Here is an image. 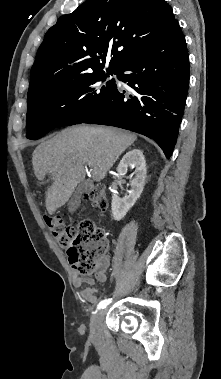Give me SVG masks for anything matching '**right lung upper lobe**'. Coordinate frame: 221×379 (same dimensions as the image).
Listing matches in <instances>:
<instances>
[{"label": "right lung upper lobe", "mask_w": 221, "mask_h": 379, "mask_svg": "<svg viewBox=\"0 0 221 379\" xmlns=\"http://www.w3.org/2000/svg\"><path fill=\"white\" fill-rule=\"evenodd\" d=\"M179 27L165 0H88L51 27L31 69L28 101L55 83L109 70Z\"/></svg>", "instance_id": "1"}]
</instances>
